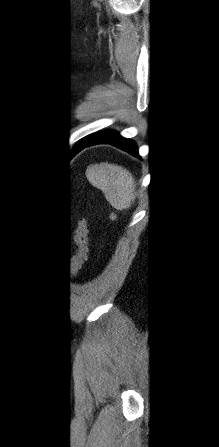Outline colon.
Segmentation results:
<instances>
[{
  "mask_svg": "<svg viewBox=\"0 0 219 447\" xmlns=\"http://www.w3.org/2000/svg\"><path fill=\"white\" fill-rule=\"evenodd\" d=\"M77 237L79 240L78 245V253L73 261V263L69 266L67 270V275L70 278H73L79 268L82 266L85 257H86V245L85 240L88 233V220L86 217H81L77 223L76 229Z\"/></svg>",
  "mask_w": 219,
  "mask_h": 447,
  "instance_id": "1",
  "label": "colon"
}]
</instances>
